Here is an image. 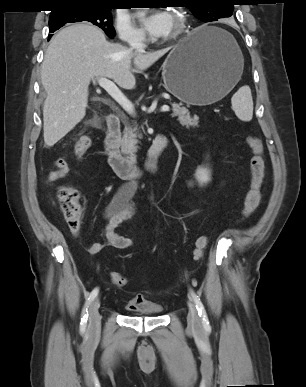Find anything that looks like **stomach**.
Wrapping results in <instances>:
<instances>
[{
  "mask_svg": "<svg viewBox=\"0 0 306 387\" xmlns=\"http://www.w3.org/2000/svg\"><path fill=\"white\" fill-rule=\"evenodd\" d=\"M242 52L225 30L201 26L176 45L162 65L166 89L191 105H209L225 97L240 80Z\"/></svg>",
  "mask_w": 306,
  "mask_h": 387,
  "instance_id": "obj_1",
  "label": "stomach"
}]
</instances>
